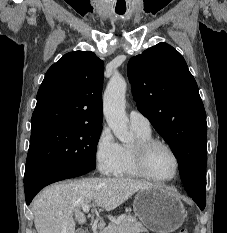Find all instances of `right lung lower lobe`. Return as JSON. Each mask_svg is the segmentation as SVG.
<instances>
[{"mask_svg": "<svg viewBox=\"0 0 227 233\" xmlns=\"http://www.w3.org/2000/svg\"><path fill=\"white\" fill-rule=\"evenodd\" d=\"M89 169L58 168L43 171L27 181H24L26 203L30 204L34 196L45 186L68 178L84 175Z\"/></svg>", "mask_w": 227, "mask_h": 233, "instance_id": "98d812e1", "label": "right lung lower lobe"}]
</instances>
